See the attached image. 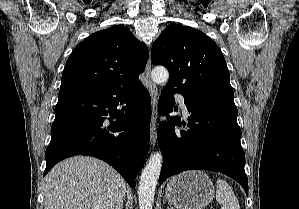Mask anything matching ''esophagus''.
Listing matches in <instances>:
<instances>
[{"mask_svg":"<svg viewBox=\"0 0 299 209\" xmlns=\"http://www.w3.org/2000/svg\"><path fill=\"white\" fill-rule=\"evenodd\" d=\"M146 87L151 96L152 112H151V124H150V143L152 146L156 143L157 138V95L158 89L155 83L151 79V59L149 57L146 68H145Z\"/></svg>","mask_w":299,"mask_h":209,"instance_id":"1","label":"esophagus"}]
</instances>
